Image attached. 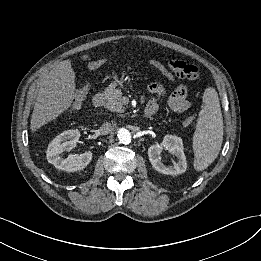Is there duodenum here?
Listing matches in <instances>:
<instances>
[{
	"label": "duodenum",
	"mask_w": 261,
	"mask_h": 261,
	"mask_svg": "<svg viewBox=\"0 0 261 261\" xmlns=\"http://www.w3.org/2000/svg\"><path fill=\"white\" fill-rule=\"evenodd\" d=\"M102 102H103V94L102 93H97L95 96H94V99H93V103L96 107H101L102 106ZM152 115V112L151 110L149 109H145V112H144V118H148L149 116Z\"/></svg>",
	"instance_id": "410a0bca"
}]
</instances>
